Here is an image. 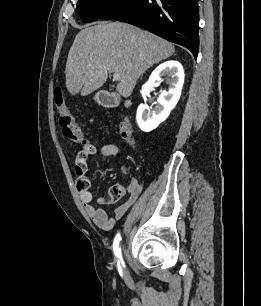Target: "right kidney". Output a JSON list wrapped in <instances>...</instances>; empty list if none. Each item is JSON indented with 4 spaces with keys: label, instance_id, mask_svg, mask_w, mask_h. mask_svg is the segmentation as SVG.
Segmentation results:
<instances>
[{
    "label": "right kidney",
    "instance_id": "ca27d5eb",
    "mask_svg": "<svg viewBox=\"0 0 261 306\" xmlns=\"http://www.w3.org/2000/svg\"><path fill=\"white\" fill-rule=\"evenodd\" d=\"M165 76L170 81L168 92L162 93L157 102L156 110L150 111L144 104L137 109L136 120L140 129L150 132L158 127L169 116L178 103L184 83V70L178 61L170 60L160 64L151 74L148 82L142 87V93L147 95L151 89L159 86L160 77Z\"/></svg>",
    "mask_w": 261,
    "mask_h": 306
}]
</instances>
